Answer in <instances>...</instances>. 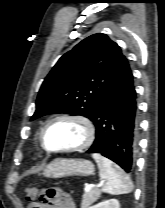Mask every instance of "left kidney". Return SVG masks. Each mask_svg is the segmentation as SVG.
<instances>
[{"mask_svg": "<svg viewBox=\"0 0 165 208\" xmlns=\"http://www.w3.org/2000/svg\"><path fill=\"white\" fill-rule=\"evenodd\" d=\"M90 208H120V204L117 199H109L91 206Z\"/></svg>", "mask_w": 165, "mask_h": 208, "instance_id": "left-kidney-1", "label": "left kidney"}]
</instances>
